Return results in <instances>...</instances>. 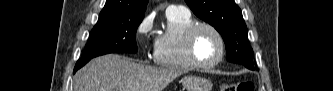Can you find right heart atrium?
<instances>
[{
	"mask_svg": "<svg viewBox=\"0 0 333 91\" xmlns=\"http://www.w3.org/2000/svg\"><path fill=\"white\" fill-rule=\"evenodd\" d=\"M152 29V19L145 17L142 19L135 28V39L142 46L146 47L147 38Z\"/></svg>",
	"mask_w": 333,
	"mask_h": 91,
	"instance_id": "obj_1",
	"label": "right heart atrium"
}]
</instances>
